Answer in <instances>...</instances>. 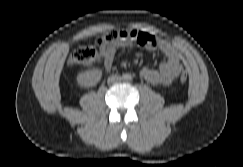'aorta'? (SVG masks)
Returning a JSON list of instances; mask_svg holds the SVG:
<instances>
[{
  "label": "aorta",
  "mask_w": 243,
  "mask_h": 167,
  "mask_svg": "<svg viewBox=\"0 0 243 167\" xmlns=\"http://www.w3.org/2000/svg\"><path fill=\"white\" fill-rule=\"evenodd\" d=\"M123 79L125 81H130V80H132V76L130 74H125V75H123Z\"/></svg>",
  "instance_id": "aorta-1"
}]
</instances>
